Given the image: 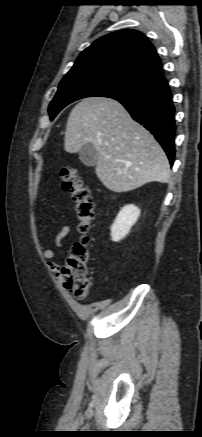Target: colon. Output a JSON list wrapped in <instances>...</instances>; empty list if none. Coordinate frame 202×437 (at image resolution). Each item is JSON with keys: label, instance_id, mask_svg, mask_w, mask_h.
<instances>
[{"label": "colon", "instance_id": "obj_1", "mask_svg": "<svg viewBox=\"0 0 202 437\" xmlns=\"http://www.w3.org/2000/svg\"><path fill=\"white\" fill-rule=\"evenodd\" d=\"M63 189L70 193L77 216L81 239L75 242L61 268L63 286L75 298H85L90 290L88 263L90 261L89 234L93 228L94 203L89 190L83 185L77 170L70 166L60 169Z\"/></svg>", "mask_w": 202, "mask_h": 437}]
</instances>
